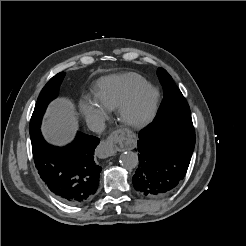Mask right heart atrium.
<instances>
[{"label": "right heart atrium", "mask_w": 246, "mask_h": 246, "mask_svg": "<svg viewBox=\"0 0 246 246\" xmlns=\"http://www.w3.org/2000/svg\"><path fill=\"white\" fill-rule=\"evenodd\" d=\"M78 107L87 124L92 127H100L108 117V111L93 97H82Z\"/></svg>", "instance_id": "d8ad5b80"}]
</instances>
